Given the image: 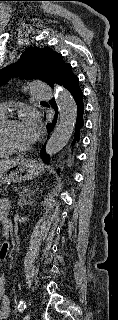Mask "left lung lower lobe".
<instances>
[{
    "instance_id": "1",
    "label": "left lung lower lobe",
    "mask_w": 118,
    "mask_h": 320,
    "mask_svg": "<svg viewBox=\"0 0 118 320\" xmlns=\"http://www.w3.org/2000/svg\"><path fill=\"white\" fill-rule=\"evenodd\" d=\"M59 84L70 92V94L72 95V97L76 103V106H77V118H76V126H75L76 129H75L74 141H73V144H74L75 142L79 141V136H80L79 131L84 125V122H83V113H84L83 92L79 86V79L72 72V68H71V70H69V72L66 74V76L63 78V80ZM51 102H52L51 106L53 108H55V110H56L55 101L52 100ZM57 115L58 114L56 113V116L54 117V120L51 124H47L48 133H50L53 130V128L56 124ZM40 156L45 163L49 162V156L46 155V153H45V147H43L41 149Z\"/></svg>"
}]
</instances>
